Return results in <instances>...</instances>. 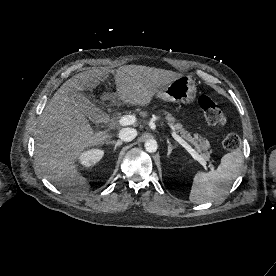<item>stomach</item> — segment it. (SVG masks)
<instances>
[{
	"mask_svg": "<svg viewBox=\"0 0 276 276\" xmlns=\"http://www.w3.org/2000/svg\"><path fill=\"white\" fill-rule=\"evenodd\" d=\"M195 82L189 76H180L159 89L157 97L165 101L191 104L196 98Z\"/></svg>",
	"mask_w": 276,
	"mask_h": 276,
	"instance_id": "obj_1",
	"label": "stomach"
}]
</instances>
